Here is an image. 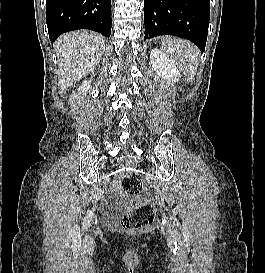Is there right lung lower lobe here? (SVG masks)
<instances>
[{
	"instance_id": "obj_1",
	"label": "right lung lower lobe",
	"mask_w": 265,
	"mask_h": 273,
	"mask_svg": "<svg viewBox=\"0 0 265 273\" xmlns=\"http://www.w3.org/2000/svg\"><path fill=\"white\" fill-rule=\"evenodd\" d=\"M49 38L53 43L61 34L90 29L109 37L111 0H46Z\"/></svg>"
}]
</instances>
